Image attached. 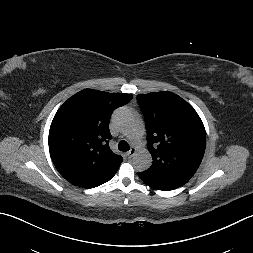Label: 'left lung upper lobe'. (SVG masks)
I'll return each mask as SVG.
<instances>
[{
  "mask_svg": "<svg viewBox=\"0 0 253 253\" xmlns=\"http://www.w3.org/2000/svg\"><path fill=\"white\" fill-rule=\"evenodd\" d=\"M145 117L152 166L142 172L165 180L187 183L198 169L206 147L204 125L184 99L172 92L139 94Z\"/></svg>",
  "mask_w": 253,
  "mask_h": 253,
  "instance_id": "5c2ea615",
  "label": "left lung upper lobe"
}]
</instances>
